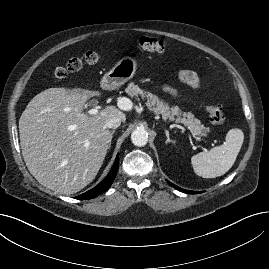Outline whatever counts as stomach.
Instances as JSON below:
<instances>
[{
    "label": "stomach",
    "mask_w": 269,
    "mask_h": 269,
    "mask_svg": "<svg viewBox=\"0 0 269 269\" xmlns=\"http://www.w3.org/2000/svg\"><path fill=\"white\" fill-rule=\"evenodd\" d=\"M137 60L133 57L121 58L115 66L107 72L102 80L101 87L104 90H113L132 79L137 71Z\"/></svg>",
    "instance_id": "obj_1"
}]
</instances>
